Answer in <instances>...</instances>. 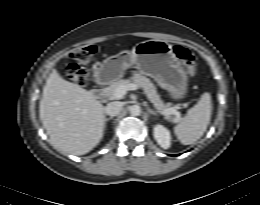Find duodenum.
I'll use <instances>...</instances> for the list:
<instances>
[{"label":"duodenum","mask_w":260,"mask_h":205,"mask_svg":"<svg viewBox=\"0 0 260 205\" xmlns=\"http://www.w3.org/2000/svg\"><path fill=\"white\" fill-rule=\"evenodd\" d=\"M104 86H105V82L101 80V83L98 86V88L93 91V95L96 99H101L103 97L105 91Z\"/></svg>","instance_id":"1"}]
</instances>
